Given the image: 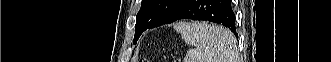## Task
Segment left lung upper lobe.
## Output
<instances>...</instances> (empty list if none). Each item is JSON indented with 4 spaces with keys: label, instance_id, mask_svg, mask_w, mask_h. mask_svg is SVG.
<instances>
[{
    "label": "left lung upper lobe",
    "instance_id": "left-lung-upper-lobe-1",
    "mask_svg": "<svg viewBox=\"0 0 331 62\" xmlns=\"http://www.w3.org/2000/svg\"><path fill=\"white\" fill-rule=\"evenodd\" d=\"M183 1L142 0L141 8L136 16L135 34L143 25H148L149 28L163 25Z\"/></svg>",
    "mask_w": 331,
    "mask_h": 62
}]
</instances>
